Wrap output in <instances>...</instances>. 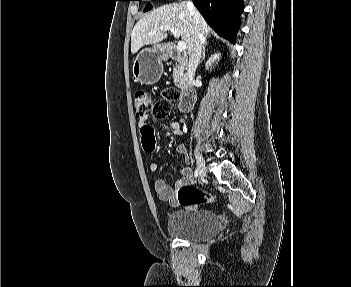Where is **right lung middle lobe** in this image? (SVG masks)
Here are the masks:
<instances>
[{
    "label": "right lung middle lobe",
    "mask_w": 351,
    "mask_h": 287,
    "mask_svg": "<svg viewBox=\"0 0 351 287\" xmlns=\"http://www.w3.org/2000/svg\"><path fill=\"white\" fill-rule=\"evenodd\" d=\"M152 7H153L152 4H151V3H148V4L146 5L144 11H145V12H146V11H149V10L152 9Z\"/></svg>",
    "instance_id": "1"
}]
</instances>
